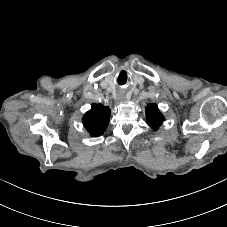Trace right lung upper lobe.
Masks as SVG:
<instances>
[{
  "instance_id": "obj_1",
  "label": "right lung upper lobe",
  "mask_w": 227,
  "mask_h": 227,
  "mask_svg": "<svg viewBox=\"0 0 227 227\" xmlns=\"http://www.w3.org/2000/svg\"><path fill=\"white\" fill-rule=\"evenodd\" d=\"M111 110L101 104H92L91 109L84 115L82 121L91 136H100L110 120Z\"/></svg>"
}]
</instances>
